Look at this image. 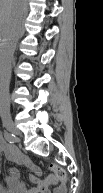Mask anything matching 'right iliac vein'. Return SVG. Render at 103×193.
Returning <instances> with one entry per match:
<instances>
[{"label": "right iliac vein", "instance_id": "obj_1", "mask_svg": "<svg viewBox=\"0 0 103 193\" xmlns=\"http://www.w3.org/2000/svg\"><path fill=\"white\" fill-rule=\"evenodd\" d=\"M4 126L6 127V129L13 133L14 135H19L20 132L19 130L16 128V126L14 125V123L12 121H6L4 122Z\"/></svg>", "mask_w": 103, "mask_h": 193}]
</instances>
